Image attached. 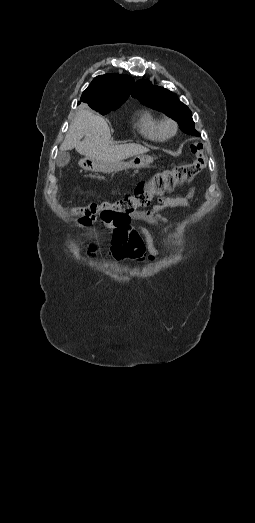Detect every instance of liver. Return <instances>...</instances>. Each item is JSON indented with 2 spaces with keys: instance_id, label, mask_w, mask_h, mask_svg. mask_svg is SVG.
Here are the masks:
<instances>
[{
  "instance_id": "6515ba94",
  "label": "liver",
  "mask_w": 255,
  "mask_h": 523,
  "mask_svg": "<svg viewBox=\"0 0 255 523\" xmlns=\"http://www.w3.org/2000/svg\"><path fill=\"white\" fill-rule=\"evenodd\" d=\"M110 138V128L106 120L102 116H95L90 110L81 108L76 112L60 150L75 148L81 156H86L89 160L101 164L103 172L122 170L121 160L149 152L148 148H144L140 144L110 146Z\"/></svg>"
}]
</instances>
